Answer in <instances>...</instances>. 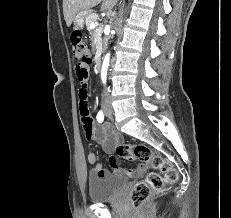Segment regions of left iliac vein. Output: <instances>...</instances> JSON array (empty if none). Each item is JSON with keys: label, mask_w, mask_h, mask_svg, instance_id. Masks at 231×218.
<instances>
[{"label": "left iliac vein", "mask_w": 231, "mask_h": 218, "mask_svg": "<svg viewBox=\"0 0 231 218\" xmlns=\"http://www.w3.org/2000/svg\"><path fill=\"white\" fill-rule=\"evenodd\" d=\"M106 116H107V117H111V116H112V109H111L110 106L108 107V109H107V111H106Z\"/></svg>", "instance_id": "left-iliac-vein-1"}]
</instances>
